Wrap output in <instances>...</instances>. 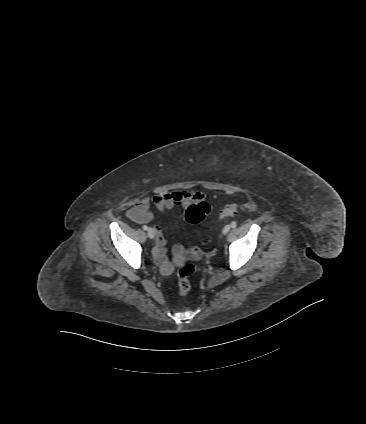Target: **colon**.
Masks as SVG:
<instances>
[{
	"instance_id": "colon-1",
	"label": "colon",
	"mask_w": 366,
	"mask_h": 424,
	"mask_svg": "<svg viewBox=\"0 0 366 424\" xmlns=\"http://www.w3.org/2000/svg\"><path fill=\"white\" fill-rule=\"evenodd\" d=\"M237 210H238L237 204H229L225 206L222 210H220L219 218L224 219L226 217L232 216L236 214ZM209 212H210L209 204L204 201H201L199 203L190 205L186 209L185 217L187 222H189L190 224H197V223H200L202 220H204ZM189 253L194 258H197L200 256V250L196 247H192ZM194 271H195V266L191 263L184 264L179 268L177 273V276H178L177 290L180 296H185L190 293L192 287L189 281V277L194 273Z\"/></svg>"
}]
</instances>
